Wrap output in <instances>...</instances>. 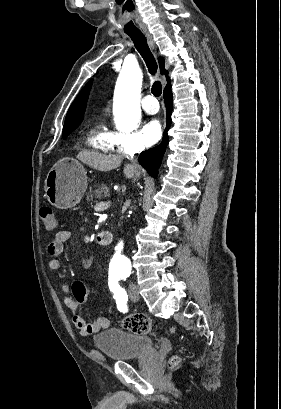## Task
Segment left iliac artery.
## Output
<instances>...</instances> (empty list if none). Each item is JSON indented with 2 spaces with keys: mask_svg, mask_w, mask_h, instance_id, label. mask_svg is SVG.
Wrapping results in <instances>:
<instances>
[{
  "mask_svg": "<svg viewBox=\"0 0 281 409\" xmlns=\"http://www.w3.org/2000/svg\"><path fill=\"white\" fill-rule=\"evenodd\" d=\"M119 278L110 277L109 278V289L113 293V298L116 300L117 308L120 312H127V301L128 295L124 288H122L119 283Z\"/></svg>",
  "mask_w": 281,
  "mask_h": 409,
  "instance_id": "1",
  "label": "left iliac artery"
}]
</instances>
